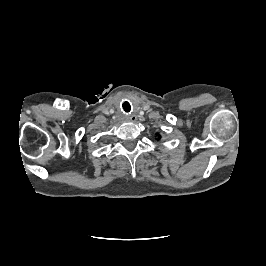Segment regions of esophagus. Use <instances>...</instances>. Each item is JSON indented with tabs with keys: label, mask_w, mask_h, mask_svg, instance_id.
I'll use <instances>...</instances> for the list:
<instances>
[{
	"label": "esophagus",
	"mask_w": 266,
	"mask_h": 266,
	"mask_svg": "<svg viewBox=\"0 0 266 266\" xmlns=\"http://www.w3.org/2000/svg\"><path fill=\"white\" fill-rule=\"evenodd\" d=\"M130 120L132 122H135L137 120V117L135 115L130 116Z\"/></svg>",
	"instance_id": "34e87169"
}]
</instances>
